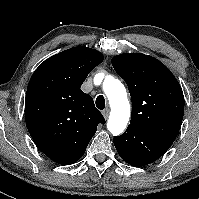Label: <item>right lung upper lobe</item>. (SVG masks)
Wrapping results in <instances>:
<instances>
[{
	"instance_id": "obj_1",
	"label": "right lung upper lobe",
	"mask_w": 199,
	"mask_h": 199,
	"mask_svg": "<svg viewBox=\"0 0 199 199\" xmlns=\"http://www.w3.org/2000/svg\"><path fill=\"white\" fill-rule=\"evenodd\" d=\"M102 61V53L95 49L70 48L45 60L29 81L27 129L36 146L58 164L79 160L98 124L105 123L92 97L80 89Z\"/></svg>"
}]
</instances>
